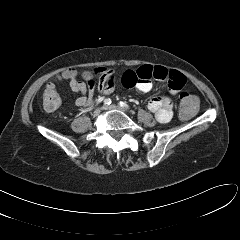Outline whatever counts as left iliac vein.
<instances>
[{
	"instance_id": "obj_1",
	"label": "left iliac vein",
	"mask_w": 240,
	"mask_h": 240,
	"mask_svg": "<svg viewBox=\"0 0 240 240\" xmlns=\"http://www.w3.org/2000/svg\"><path fill=\"white\" fill-rule=\"evenodd\" d=\"M103 109H105V110H119V111H123V109L121 107L116 106V105L105 106V107H103Z\"/></svg>"
}]
</instances>
